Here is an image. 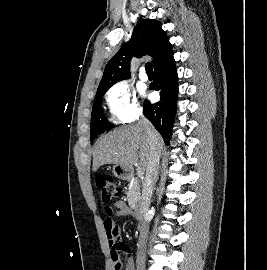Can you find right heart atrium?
<instances>
[{
	"label": "right heart atrium",
	"mask_w": 267,
	"mask_h": 270,
	"mask_svg": "<svg viewBox=\"0 0 267 270\" xmlns=\"http://www.w3.org/2000/svg\"><path fill=\"white\" fill-rule=\"evenodd\" d=\"M106 105L115 122H131L141 114V107L132 87L120 81L112 85L105 95Z\"/></svg>",
	"instance_id": "obj_1"
}]
</instances>
